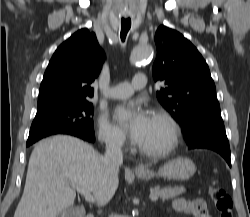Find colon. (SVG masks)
<instances>
[{"mask_svg":"<svg viewBox=\"0 0 250 217\" xmlns=\"http://www.w3.org/2000/svg\"><path fill=\"white\" fill-rule=\"evenodd\" d=\"M209 196L219 217H233L232 199L223 188L212 184L209 187Z\"/></svg>","mask_w":250,"mask_h":217,"instance_id":"1","label":"colon"}]
</instances>
